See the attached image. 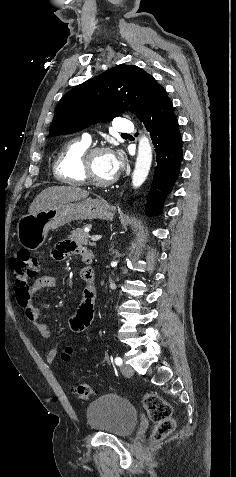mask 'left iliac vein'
I'll use <instances>...</instances> for the list:
<instances>
[{"instance_id":"4c4485c4","label":"left iliac vein","mask_w":236,"mask_h":477,"mask_svg":"<svg viewBox=\"0 0 236 477\" xmlns=\"http://www.w3.org/2000/svg\"><path fill=\"white\" fill-rule=\"evenodd\" d=\"M120 369L122 374L126 377H131L133 375V369L130 365L123 364Z\"/></svg>"}]
</instances>
